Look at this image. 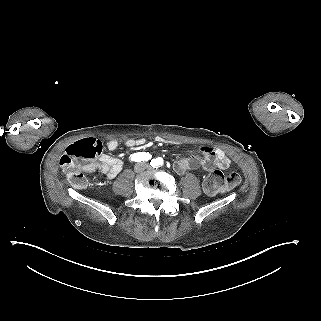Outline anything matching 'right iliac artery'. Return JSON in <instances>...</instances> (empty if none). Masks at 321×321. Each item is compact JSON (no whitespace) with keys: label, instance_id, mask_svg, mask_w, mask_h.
I'll list each match as a JSON object with an SVG mask.
<instances>
[{"label":"right iliac artery","instance_id":"obj_1","mask_svg":"<svg viewBox=\"0 0 321 321\" xmlns=\"http://www.w3.org/2000/svg\"><path fill=\"white\" fill-rule=\"evenodd\" d=\"M130 159L134 162L148 161L151 159V155L148 152H138L130 156Z\"/></svg>","mask_w":321,"mask_h":321}]
</instances>
